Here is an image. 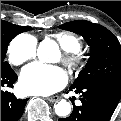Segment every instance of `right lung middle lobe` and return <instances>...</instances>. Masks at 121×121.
Returning a JSON list of instances; mask_svg holds the SVG:
<instances>
[{
    "label": "right lung middle lobe",
    "mask_w": 121,
    "mask_h": 121,
    "mask_svg": "<svg viewBox=\"0 0 121 121\" xmlns=\"http://www.w3.org/2000/svg\"><path fill=\"white\" fill-rule=\"evenodd\" d=\"M31 27L18 26L7 21L1 20V68H9L10 65L4 62L7 47L12 38L18 33L29 30Z\"/></svg>",
    "instance_id": "right-lung-middle-lobe-1"
}]
</instances>
